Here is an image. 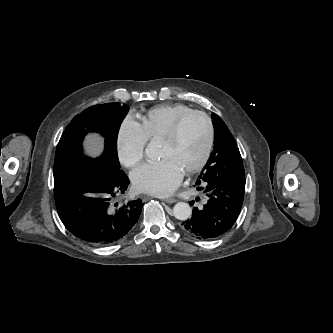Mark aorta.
<instances>
[{"instance_id":"obj_1","label":"aorta","mask_w":333,"mask_h":333,"mask_svg":"<svg viewBox=\"0 0 333 333\" xmlns=\"http://www.w3.org/2000/svg\"><path fill=\"white\" fill-rule=\"evenodd\" d=\"M145 151L148 157H156V152L152 146L147 147ZM173 213L178 220H187L191 216L192 209L189 204L179 202L174 206Z\"/></svg>"}]
</instances>
